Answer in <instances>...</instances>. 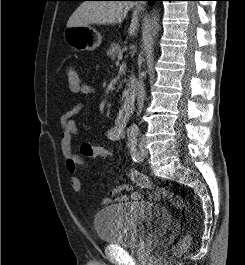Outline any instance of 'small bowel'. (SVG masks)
<instances>
[{
	"instance_id": "1",
	"label": "small bowel",
	"mask_w": 245,
	"mask_h": 265,
	"mask_svg": "<svg viewBox=\"0 0 245 265\" xmlns=\"http://www.w3.org/2000/svg\"><path fill=\"white\" fill-rule=\"evenodd\" d=\"M82 95H93L96 93L95 87L87 83H81L78 92ZM84 109L83 103H77L69 111L64 113L60 119L61 132V150L65 160L66 170L71 174L70 186L76 193H81L83 190L82 182L76 172L79 169H84L89 166L88 162L75 152L73 146L74 137L78 134V128L73 117ZM106 137L111 141H118L124 136V127L121 124H115L106 129ZM125 193V194H124ZM141 197L140 193L134 191L129 184H121L115 186L109 191V196L101 201L102 205H108L113 201L126 202L137 201ZM150 199L158 200L160 195L153 192L149 195Z\"/></svg>"
}]
</instances>
